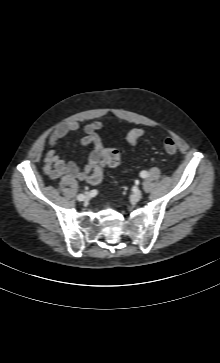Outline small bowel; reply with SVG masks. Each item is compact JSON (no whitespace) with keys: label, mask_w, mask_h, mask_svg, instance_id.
Here are the masks:
<instances>
[{"label":"small bowel","mask_w":220,"mask_h":363,"mask_svg":"<svg viewBox=\"0 0 220 363\" xmlns=\"http://www.w3.org/2000/svg\"><path fill=\"white\" fill-rule=\"evenodd\" d=\"M102 127L101 122H91L84 126L85 136L82 138L83 145L92 144L93 150L89 155L88 162L83 169L73 161H65L56 154V146L60 139L79 129V124L75 121L60 124L50 135L48 148L45 153L43 171L52 180L60 176H69L78 180H89L90 174L96 168H103L104 148L97 131Z\"/></svg>","instance_id":"small-bowel-1"}]
</instances>
